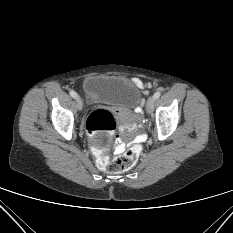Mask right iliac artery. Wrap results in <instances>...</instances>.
I'll return each instance as SVG.
<instances>
[{
  "label": "right iliac artery",
  "instance_id": "right-iliac-artery-1",
  "mask_svg": "<svg viewBox=\"0 0 233 233\" xmlns=\"http://www.w3.org/2000/svg\"><path fill=\"white\" fill-rule=\"evenodd\" d=\"M69 94L73 97V98H75L76 97V92L74 91V90H70L69 91Z\"/></svg>",
  "mask_w": 233,
  "mask_h": 233
}]
</instances>
